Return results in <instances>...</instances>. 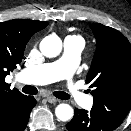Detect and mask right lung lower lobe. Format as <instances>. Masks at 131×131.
Instances as JSON below:
<instances>
[{
	"label": "right lung lower lobe",
	"instance_id": "right-lung-lower-lobe-1",
	"mask_svg": "<svg viewBox=\"0 0 131 131\" xmlns=\"http://www.w3.org/2000/svg\"><path fill=\"white\" fill-rule=\"evenodd\" d=\"M35 105V98L26 96L15 110L11 123L1 131H24L30 117V112Z\"/></svg>",
	"mask_w": 131,
	"mask_h": 131
}]
</instances>
